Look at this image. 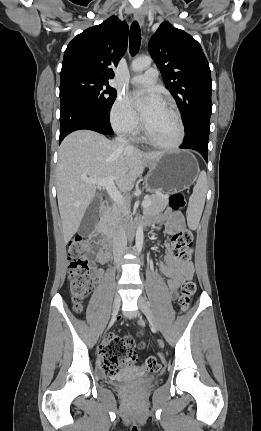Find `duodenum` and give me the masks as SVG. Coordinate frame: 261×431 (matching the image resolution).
Wrapping results in <instances>:
<instances>
[{
  "label": "duodenum",
  "instance_id": "obj_1",
  "mask_svg": "<svg viewBox=\"0 0 261 431\" xmlns=\"http://www.w3.org/2000/svg\"><path fill=\"white\" fill-rule=\"evenodd\" d=\"M107 211V207L103 206L101 210V217L96 226V230L92 235V239L101 246V248L106 252L107 256L110 257L113 248V239L110 233L107 231L106 224L104 221V216ZM135 228H130L128 231V236H132L135 232Z\"/></svg>",
  "mask_w": 261,
  "mask_h": 431
}]
</instances>
